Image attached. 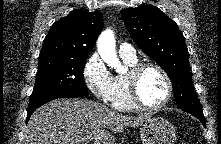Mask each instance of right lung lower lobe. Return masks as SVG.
<instances>
[{
    "label": "right lung lower lobe",
    "mask_w": 221,
    "mask_h": 144,
    "mask_svg": "<svg viewBox=\"0 0 221 144\" xmlns=\"http://www.w3.org/2000/svg\"><path fill=\"white\" fill-rule=\"evenodd\" d=\"M81 96H84L82 94H77V93H64V94H59V95H56L54 97H52L51 99H49L48 101H46L45 103L49 102V101H52L54 99H58V98H75V97H81ZM43 103V104H45ZM42 104V105H43ZM41 105V106H42ZM40 107V106H39ZM38 108V107H37ZM37 108H34V109H30L27 111V118H26V122L29 120L30 116L32 115V113L37 109Z\"/></svg>",
    "instance_id": "1"
}]
</instances>
